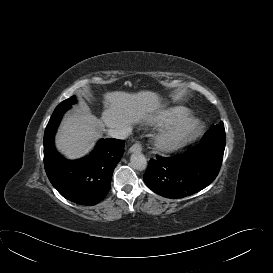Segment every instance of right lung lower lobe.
Returning <instances> with one entry per match:
<instances>
[{
	"instance_id": "right-lung-lower-lobe-1",
	"label": "right lung lower lobe",
	"mask_w": 273,
	"mask_h": 273,
	"mask_svg": "<svg viewBox=\"0 0 273 273\" xmlns=\"http://www.w3.org/2000/svg\"><path fill=\"white\" fill-rule=\"evenodd\" d=\"M67 110V109H66ZM56 107L44 133V167L55 189L80 205H95L110 189L115 166L124 152V140L101 139L90 155L66 160L54 146V135L66 111Z\"/></svg>"
}]
</instances>
